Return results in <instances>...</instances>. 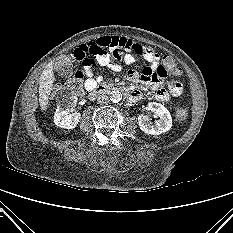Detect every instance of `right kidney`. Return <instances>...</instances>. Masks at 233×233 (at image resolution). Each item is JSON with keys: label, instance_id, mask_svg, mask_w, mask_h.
Here are the masks:
<instances>
[{"label": "right kidney", "instance_id": "right-kidney-1", "mask_svg": "<svg viewBox=\"0 0 233 233\" xmlns=\"http://www.w3.org/2000/svg\"><path fill=\"white\" fill-rule=\"evenodd\" d=\"M77 102V97L72 96L68 104H61L57 107L54 115V123L64 129H73L77 126L81 114L78 112L70 113L69 107Z\"/></svg>", "mask_w": 233, "mask_h": 233}]
</instances>
